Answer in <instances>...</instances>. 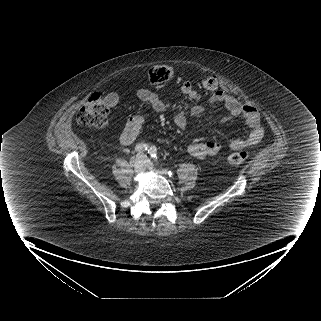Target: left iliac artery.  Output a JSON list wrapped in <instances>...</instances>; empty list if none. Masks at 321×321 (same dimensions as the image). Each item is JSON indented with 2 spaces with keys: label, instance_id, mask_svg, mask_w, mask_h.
<instances>
[{
  "label": "left iliac artery",
  "instance_id": "obj_1",
  "mask_svg": "<svg viewBox=\"0 0 321 321\" xmlns=\"http://www.w3.org/2000/svg\"><path fill=\"white\" fill-rule=\"evenodd\" d=\"M148 153L150 154V156L154 159L157 160L158 156H157V148L155 146H151L148 150ZM165 173H167L170 177L174 176V172L169 170V171H165Z\"/></svg>",
  "mask_w": 321,
  "mask_h": 321
}]
</instances>
